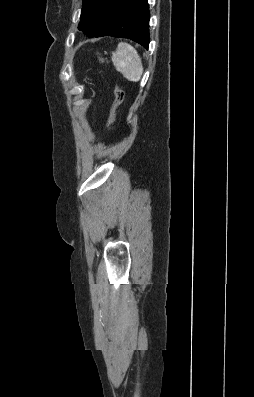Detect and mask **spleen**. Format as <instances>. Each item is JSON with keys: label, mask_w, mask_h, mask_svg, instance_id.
Returning <instances> with one entry per match:
<instances>
[{"label": "spleen", "mask_w": 254, "mask_h": 397, "mask_svg": "<svg viewBox=\"0 0 254 397\" xmlns=\"http://www.w3.org/2000/svg\"><path fill=\"white\" fill-rule=\"evenodd\" d=\"M112 62L115 69L127 80L140 81L143 74L142 60L136 49L128 43L120 42L112 53Z\"/></svg>", "instance_id": "spleen-1"}]
</instances>
